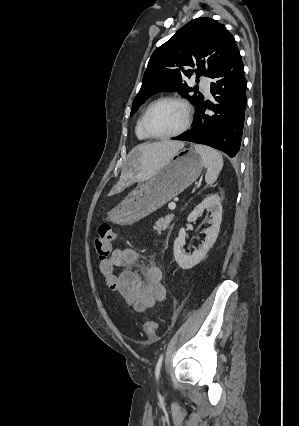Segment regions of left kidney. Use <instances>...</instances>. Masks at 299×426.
Wrapping results in <instances>:
<instances>
[{"instance_id":"left-kidney-1","label":"left kidney","mask_w":299,"mask_h":426,"mask_svg":"<svg viewBox=\"0 0 299 426\" xmlns=\"http://www.w3.org/2000/svg\"><path fill=\"white\" fill-rule=\"evenodd\" d=\"M205 209L211 212L212 217L211 227L204 230L206 234L205 242L197 250L193 251L192 255H186L182 250L186 238L185 228L180 229L178 237L174 241V257L182 269H191L197 265L206 256L218 237L222 221V206L218 195L214 194L207 196L189 214L187 221H196Z\"/></svg>"}]
</instances>
